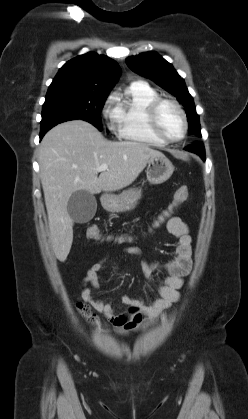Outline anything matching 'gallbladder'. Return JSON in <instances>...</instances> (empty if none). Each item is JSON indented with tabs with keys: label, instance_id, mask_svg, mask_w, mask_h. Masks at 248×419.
<instances>
[{
	"label": "gallbladder",
	"instance_id": "1",
	"mask_svg": "<svg viewBox=\"0 0 248 419\" xmlns=\"http://www.w3.org/2000/svg\"><path fill=\"white\" fill-rule=\"evenodd\" d=\"M97 209L96 198L86 190L74 192L67 205L70 217L76 223H87L95 215Z\"/></svg>",
	"mask_w": 248,
	"mask_h": 419
}]
</instances>
